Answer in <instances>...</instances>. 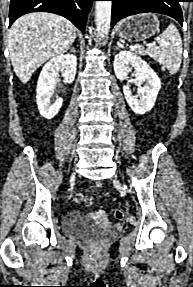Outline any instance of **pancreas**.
Instances as JSON below:
<instances>
[{"label":"pancreas","instance_id":"1","mask_svg":"<svg viewBox=\"0 0 193 287\" xmlns=\"http://www.w3.org/2000/svg\"><path fill=\"white\" fill-rule=\"evenodd\" d=\"M134 51H135L136 53L140 54V55H143V54H144V51H143V49H141V48L135 49Z\"/></svg>","mask_w":193,"mask_h":287}]
</instances>
